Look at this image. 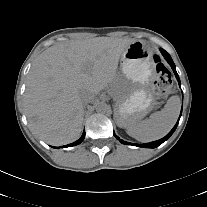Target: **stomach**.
Segmentation results:
<instances>
[{
	"instance_id": "1",
	"label": "stomach",
	"mask_w": 207,
	"mask_h": 207,
	"mask_svg": "<svg viewBox=\"0 0 207 207\" xmlns=\"http://www.w3.org/2000/svg\"><path fill=\"white\" fill-rule=\"evenodd\" d=\"M122 77L115 88L114 117L119 127L126 126L147 113L153 104L149 83L155 74L152 52L142 41L131 43L121 55ZM127 82L135 85L125 88Z\"/></svg>"
}]
</instances>
